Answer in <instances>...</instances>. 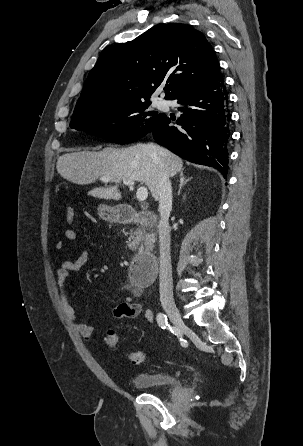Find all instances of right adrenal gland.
<instances>
[{
    "mask_svg": "<svg viewBox=\"0 0 303 446\" xmlns=\"http://www.w3.org/2000/svg\"><path fill=\"white\" fill-rule=\"evenodd\" d=\"M179 178H180V184H179V188L177 191V195H180V192H181V189L183 188V186H185L187 184V182H189L192 179V177L185 178L183 170H181L179 172Z\"/></svg>",
    "mask_w": 303,
    "mask_h": 446,
    "instance_id": "1",
    "label": "right adrenal gland"
}]
</instances>
